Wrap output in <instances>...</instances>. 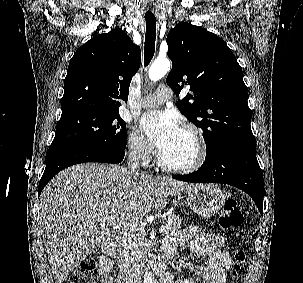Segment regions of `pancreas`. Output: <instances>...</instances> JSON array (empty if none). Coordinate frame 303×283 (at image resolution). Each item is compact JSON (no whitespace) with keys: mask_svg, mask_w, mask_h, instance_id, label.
Here are the masks:
<instances>
[{"mask_svg":"<svg viewBox=\"0 0 303 283\" xmlns=\"http://www.w3.org/2000/svg\"><path fill=\"white\" fill-rule=\"evenodd\" d=\"M169 224H166V234H172L180 229L181 218L178 215L168 216ZM144 235L140 228L133 227L127 230L117 242L115 258L120 268L127 269L146 253L142 239Z\"/></svg>","mask_w":303,"mask_h":283,"instance_id":"cf45deb5","label":"pancreas"}]
</instances>
